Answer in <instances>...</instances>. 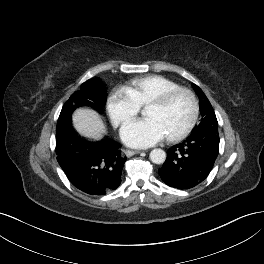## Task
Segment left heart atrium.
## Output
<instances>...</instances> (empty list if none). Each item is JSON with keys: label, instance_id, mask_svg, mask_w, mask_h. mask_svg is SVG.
Wrapping results in <instances>:
<instances>
[{"label": "left heart atrium", "instance_id": "1", "mask_svg": "<svg viewBox=\"0 0 264 264\" xmlns=\"http://www.w3.org/2000/svg\"><path fill=\"white\" fill-rule=\"evenodd\" d=\"M166 136L161 125L153 118L137 119L121 130L123 141L136 148H146L160 142Z\"/></svg>", "mask_w": 264, "mask_h": 264}]
</instances>
